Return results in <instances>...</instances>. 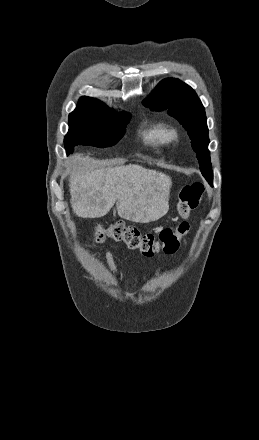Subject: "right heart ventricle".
<instances>
[{
	"label": "right heart ventricle",
	"mask_w": 259,
	"mask_h": 440,
	"mask_svg": "<svg viewBox=\"0 0 259 440\" xmlns=\"http://www.w3.org/2000/svg\"><path fill=\"white\" fill-rule=\"evenodd\" d=\"M167 131L168 125L162 120L147 122L141 130V137L146 144L158 148L169 142Z\"/></svg>",
	"instance_id": "1"
}]
</instances>
